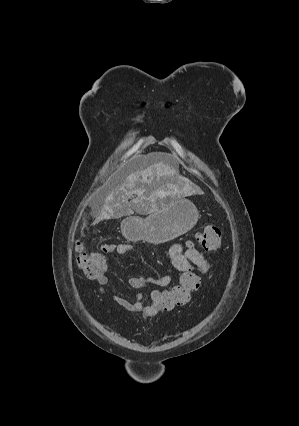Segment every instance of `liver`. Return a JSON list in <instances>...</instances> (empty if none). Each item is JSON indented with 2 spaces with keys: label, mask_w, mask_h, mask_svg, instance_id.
<instances>
[{
  "label": "liver",
  "mask_w": 299,
  "mask_h": 426,
  "mask_svg": "<svg viewBox=\"0 0 299 426\" xmlns=\"http://www.w3.org/2000/svg\"><path fill=\"white\" fill-rule=\"evenodd\" d=\"M160 160L141 171L131 173L120 185L112 189L105 198L102 210L93 224L104 219L118 218L133 214L134 210L153 212L162 204L163 198L168 195L166 187L172 184L170 179L178 171ZM137 195V198L128 202V199Z\"/></svg>",
  "instance_id": "liver-1"
}]
</instances>
